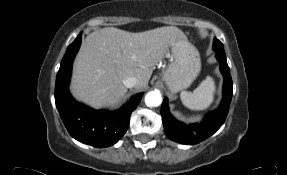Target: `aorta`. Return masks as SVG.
<instances>
[{"instance_id": "1", "label": "aorta", "mask_w": 287, "mask_h": 175, "mask_svg": "<svg viewBox=\"0 0 287 175\" xmlns=\"http://www.w3.org/2000/svg\"><path fill=\"white\" fill-rule=\"evenodd\" d=\"M145 103L150 107H157L162 103L161 93L158 91H150L145 96Z\"/></svg>"}]
</instances>
